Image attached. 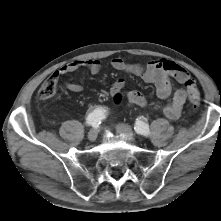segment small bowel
Instances as JSON below:
<instances>
[{
    "mask_svg": "<svg viewBox=\"0 0 221 221\" xmlns=\"http://www.w3.org/2000/svg\"><path fill=\"white\" fill-rule=\"evenodd\" d=\"M111 66L116 70L137 75L144 82L152 84L159 98L169 99L163 108L164 114L169 119H177L180 116L188 98V93L186 88H173L171 77H174L181 84H184L187 79H191L190 75L180 65L166 59L152 60L146 65L131 64L120 57H116L111 60ZM80 67H86L91 74H98L102 69V63L96 59L74 61L56 70L52 76L58 79L61 76L75 72ZM124 85V79H117L111 85V95L121 92ZM65 87L73 93H78L82 90V86L77 82H66ZM125 97L130 106H147L145 96L139 91L129 90L126 92Z\"/></svg>",
    "mask_w": 221,
    "mask_h": 221,
    "instance_id": "obj_1",
    "label": "small bowel"
}]
</instances>
